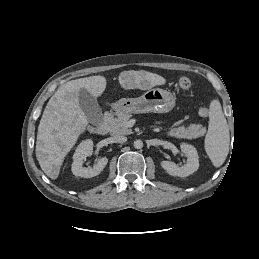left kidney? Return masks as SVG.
I'll return each mask as SVG.
<instances>
[{
  "label": "left kidney",
  "mask_w": 259,
  "mask_h": 259,
  "mask_svg": "<svg viewBox=\"0 0 259 259\" xmlns=\"http://www.w3.org/2000/svg\"><path fill=\"white\" fill-rule=\"evenodd\" d=\"M181 151L187 155V163L179 167L174 162L162 161V168L171 176L187 177L193 174L199 168V156L194 146L181 144Z\"/></svg>",
  "instance_id": "left-kidney-1"
}]
</instances>
